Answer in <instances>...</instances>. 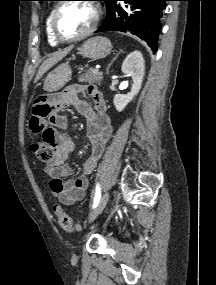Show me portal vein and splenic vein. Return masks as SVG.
<instances>
[{"label": "portal vein and splenic vein", "instance_id": "1", "mask_svg": "<svg viewBox=\"0 0 216 285\" xmlns=\"http://www.w3.org/2000/svg\"><path fill=\"white\" fill-rule=\"evenodd\" d=\"M97 72H99L98 68L93 69V73H97Z\"/></svg>", "mask_w": 216, "mask_h": 285}]
</instances>
